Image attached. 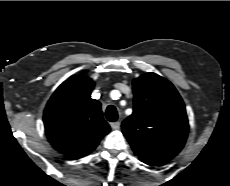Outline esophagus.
I'll list each match as a JSON object with an SVG mask.
<instances>
[{
  "instance_id": "1",
  "label": "esophagus",
  "mask_w": 230,
  "mask_h": 186,
  "mask_svg": "<svg viewBox=\"0 0 230 186\" xmlns=\"http://www.w3.org/2000/svg\"><path fill=\"white\" fill-rule=\"evenodd\" d=\"M110 125H111V128H112L113 130H117V129L120 128V122H118V121L112 122Z\"/></svg>"
}]
</instances>
